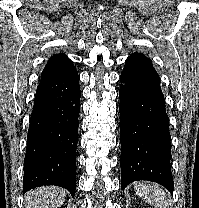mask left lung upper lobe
Returning a JSON list of instances; mask_svg holds the SVG:
<instances>
[{"mask_svg": "<svg viewBox=\"0 0 199 208\" xmlns=\"http://www.w3.org/2000/svg\"><path fill=\"white\" fill-rule=\"evenodd\" d=\"M133 55L141 56L142 58H144V59L148 60L149 62H151V60L148 59V58H146L143 54H140V53L135 52Z\"/></svg>", "mask_w": 199, "mask_h": 208, "instance_id": "1", "label": "left lung upper lobe"}]
</instances>
